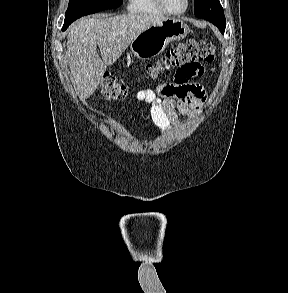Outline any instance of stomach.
Wrapping results in <instances>:
<instances>
[{"label": "stomach", "mask_w": 288, "mask_h": 293, "mask_svg": "<svg viewBox=\"0 0 288 293\" xmlns=\"http://www.w3.org/2000/svg\"><path fill=\"white\" fill-rule=\"evenodd\" d=\"M189 31L180 19L166 17L141 32L131 43V53L142 60L161 54L171 41L182 40Z\"/></svg>", "instance_id": "stomach-1"}]
</instances>
